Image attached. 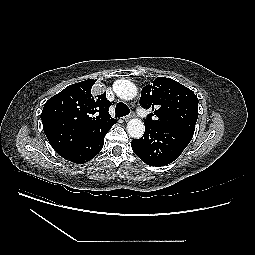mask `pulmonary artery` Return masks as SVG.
<instances>
[{
	"instance_id": "e3ab8cb5",
	"label": "pulmonary artery",
	"mask_w": 255,
	"mask_h": 255,
	"mask_svg": "<svg viewBox=\"0 0 255 255\" xmlns=\"http://www.w3.org/2000/svg\"><path fill=\"white\" fill-rule=\"evenodd\" d=\"M137 111H138V112H141V109H140V108H137ZM144 115H145V114H144Z\"/></svg>"
}]
</instances>
